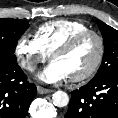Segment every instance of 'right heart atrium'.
<instances>
[{"label":"right heart atrium","instance_id":"d8ad5b80","mask_svg":"<svg viewBox=\"0 0 118 118\" xmlns=\"http://www.w3.org/2000/svg\"><path fill=\"white\" fill-rule=\"evenodd\" d=\"M15 55L20 65L30 72L34 71L39 64L45 62L49 57L36 38L29 35H22L18 39Z\"/></svg>","mask_w":118,"mask_h":118}]
</instances>
